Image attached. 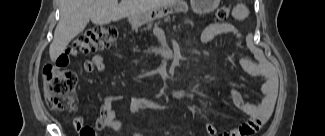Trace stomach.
I'll return each mask as SVG.
<instances>
[{
  "label": "stomach",
  "mask_w": 325,
  "mask_h": 136,
  "mask_svg": "<svg viewBox=\"0 0 325 136\" xmlns=\"http://www.w3.org/2000/svg\"><path fill=\"white\" fill-rule=\"evenodd\" d=\"M220 0H192V9L195 13L203 14L213 11L219 4ZM186 10L183 1H170L169 5H163L162 8L152 10L141 15L130 17V22L134 26L150 22L152 19H159L165 15H176L177 12Z\"/></svg>",
  "instance_id": "0dacf381"
}]
</instances>
